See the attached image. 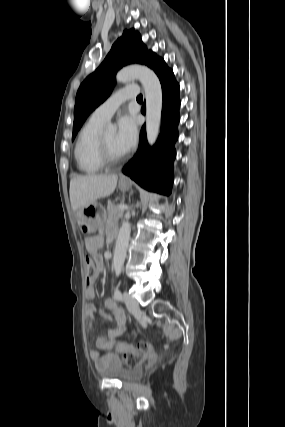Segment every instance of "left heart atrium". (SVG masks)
<instances>
[{
  "label": "left heart atrium",
  "instance_id": "obj_1",
  "mask_svg": "<svg viewBox=\"0 0 285 427\" xmlns=\"http://www.w3.org/2000/svg\"><path fill=\"white\" fill-rule=\"evenodd\" d=\"M137 141V126L133 117L124 115L119 118L116 142L118 147L127 153L135 146Z\"/></svg>",
  "mask_w": 285,
  "mask_h": 427
}]
</instances>
